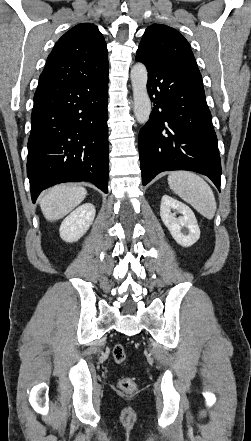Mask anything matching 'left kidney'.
<instances>
[{"label": "left kidney", "instance_id": "left-kidney-1", "mask_svg": "<svg viewBox=\"0 0 251 441\" xmlns=\"http://www.w3.org/2000/svg\"><path fill=\"white\" fill-rule=\"evenodd\" d=\"M171 210L182 214L176 218ZM160 216L174 240L183 247L192 246L200 237V229L193 211L184 203L168 195L161 199Z\"/></svg>", "mask_w": 251, "mask_h": 441}]
</instances>
